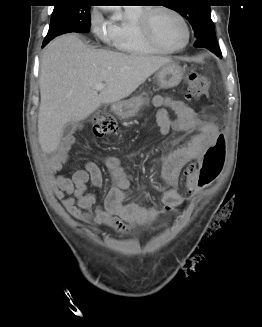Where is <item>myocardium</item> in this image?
Listing matches in <instances>:
<instances>
[{"label": "myocardium", "mask_w": 262, "mask_h": 327, "mask_svg": "<svg viewBox=\"0 0 262 327\" xmlns=\"http://www.w3.org/2000/svg\"><path fill=\"white\" fill-rule=\"evenodd\" d=\"M156 11L169 12L175 15L183 23L186 30V39L185 42L180 47L168 48L157 40L152 30V24H151L152 15ZM137 24L141 34L148 41V43L152 45L154 48L164 53H175V52L182 51L184 48L187 47L191 39V30L186 18L178 10L170 6L156 5V6L144 8L138 17Z\"/></svg>", "instance_id": "obj_1"}]
</instances>
